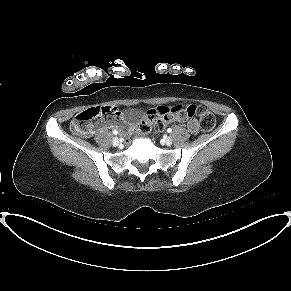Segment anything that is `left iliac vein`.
Instances as JSON below:
<instances>
[{
  "instance_id": "1",
  "label": "left iliac vein",
  "mask_w": 291,
  "mask_h": 291,
  "mask_svg": "<svg viewBox=\"0 0 291 291\" xmlns=\"http://www.w3.org/2000/svg\"><path fill=\"white\" fill-rule=\"evenodd\" d=\"M164 141H165V144L167 146H170L172 144V138L171 137H166Z\"/></svg>"
}]
</instances>
